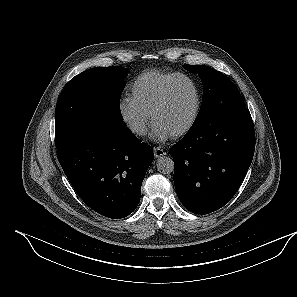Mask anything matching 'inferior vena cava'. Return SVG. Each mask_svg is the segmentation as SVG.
I'll return each mask as SVG.
<instances>
[{"label":"inferior vena cava","mask_w":297,"mask_h":297,"mask_svg":"<svg viewBox=\"0 0 297 297\" xmlns=\"http://www.w3.org/2000/svg\"><path fill=\"white\" fill-rule=\"evenodd\" d=\"M130 129L132 132L137 133L139 135L146 134V126L143 122L136 121L130 124Z\"/></svg>","instance_id":"obj_1"}]
</instances>
